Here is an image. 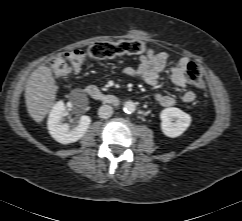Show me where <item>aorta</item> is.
Here are the masks:
<instances>
[{
  "instance_id": "aorta-1",
  "label": "aorta",
  "mask_w": 242,
  "mask_h": 221,
  "mask_svg": "<svg viewBox=\"0 0 242 221\" xmlns=\"http://www.w3.org/2000/svg\"><path fill=\"white\" fill-rule=\"evenodd\" d=\"M123 110L125 113H128V114L133 113L136 110V105L132 101H126L124 103Z\"/></svg>"
}]
</instances>
